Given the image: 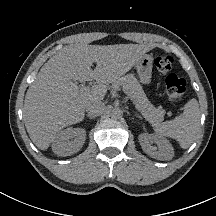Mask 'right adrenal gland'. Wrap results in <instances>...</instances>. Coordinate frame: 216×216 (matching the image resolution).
Instances as JSON below:
<instances>
[{"mask_svg": "<svg viewBox=\"0 0 216 216\" xmlns=\"http://www.w3.org/2000/svg\"><path fill=\"white\" fill-rule=\"evenodd\" d=\"M87 117H88L89 119H91V120L94 119V117H90V116H87Z\"/></svg>", "mask_w": 216, "mask_h": 216, "instance_id": "1", "label": "right adrenal gland"}]
</instances>
